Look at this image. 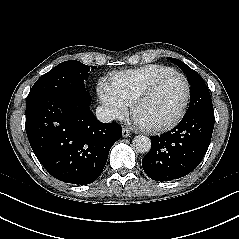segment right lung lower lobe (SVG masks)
Returning a JSON list of instances; mask_svg holds the SVG:
<instances>
[{"mask_svg":"<svg viewBox=\"0 0 239 239\" xmlns=\"http://www.w3.org/2000/svg\"><path fill=\"white\" fill-rule=\"evenodd\" d=\"M90 94L50 95L26 103V132L44 168L66 183L87 185L102 173L112 145L122 137L115 122L102 123Z\"/></svg>","mask_w":239,"mask_h":239,"instance_id":"1","label":"right lung lower lobe"}]
</instances>
